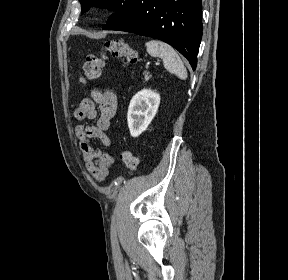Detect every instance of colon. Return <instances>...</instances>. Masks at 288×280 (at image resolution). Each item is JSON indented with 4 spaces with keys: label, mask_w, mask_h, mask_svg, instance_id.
Returning a JSON list of instances; mask_svg holds the SVG:
<instances>
[{
    "label": "colon",
    "mask_w": 288,
    "mask_h": 280,
    "mask_svg": "<svg viewBox=\"0 0 288 280\" xmlns=\"http://www.w3.org/2000/svg\"><path fill=\"white\" fill-rule=\"evenodd\" d=\"M108 57L120 58L129 65L135 64L139 60L138 53L125 41L121 39L108 40L103 43L98 53L91 54L86 58L81 82L87 83L98 79ZM121 160L131 173L136 171L138 159L130 151H123Z\"/></svg>",
    "instance_id": "1"
}]
</instances>
